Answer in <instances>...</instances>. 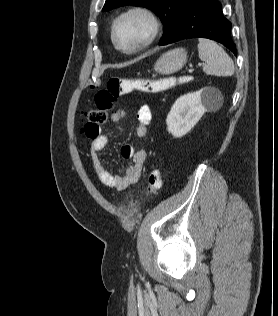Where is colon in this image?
<instances>
[{"mask_svg":"<svg viewBox=\"0 0 278 316\" xmlns=\"http://www.w3.org/2000/svg\"><path fill=\"white\" fill-rule=\"evenodd\" d=\"M169 83L170 80L110 78L105 88L99 90L94 96L96 108L86 110L82 115V120L85 122L84 132L91 136L98 133L100 125L107 121L108 113L115 107L119 96L134 90L147 93L158 92ZM161 187V173L158 169H154L148 175L146 195L157 194Z\"/></svg>","mask_w":278,"mask_h":316,"instance_id":"1","label":"colon"}]
</instances>
